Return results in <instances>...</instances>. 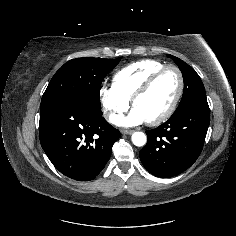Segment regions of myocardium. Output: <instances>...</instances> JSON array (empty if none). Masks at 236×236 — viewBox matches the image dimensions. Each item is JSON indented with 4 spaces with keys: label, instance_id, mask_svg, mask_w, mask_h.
<instances>
[{
    "label": "myocardium",
    "instance_id": "f54148a6",
    "mask_svg": "<svg viewBox=\"0 0 236 236\" xmlns=\"http://www.w3.org/2000/svg\"><path fill=\"white\" fill-rule=\"evenodd\" d=\"M168 70H173L178 77V90L177 93L171 102L170 106L166 109L164 113H162L160 116L153 120L146 121L150 126H157L165 121H167L175 112L181 98L184 92V87H185V82H184V76L182 71L180 70L179 67L175 65H166L156 71L154 74H152L145 82L144 84L135 92L131 99L132 106H135L136 101L142 97L144 94H146L153 84Z\"/></svg>",
    "mask_w": 236,
    "mask_h": 236
}]
</instances>
